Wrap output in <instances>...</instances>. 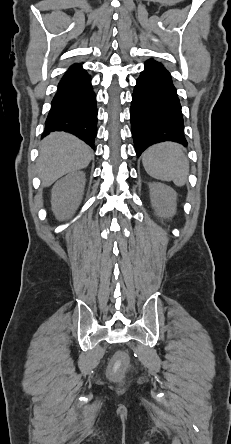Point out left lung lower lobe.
I'll list each match as a JSON object with an SVG mask.
<instances>
[{
	"label": "left lung lower lobe",
	"mask_w": 231,
	"mask_h": 444,
	"mask_svg": "<svg viewBox=\"0 0 231 444\" xmlns=\"http://www.w3.org/2000/svg\"><path fill=\"white\" fill-rule=\"evenodd\" d=\"M144 65L136 81L130 111L137 156L162 141L187 145L181 105L170 73L153 59Z\"/></svg>",
	"instance_id": "1"
}]
</instances>
